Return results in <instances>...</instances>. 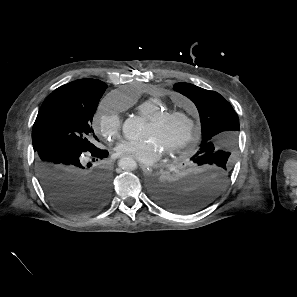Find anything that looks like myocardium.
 <instances>
[{
	"instance_id": "f54148a6",
	"label": "myocardium",
	"mask_w": 297,
	"mask_h": 297,
	"mask_svg": "<svg viewBox=\"0 0 297 297\" xmlns=\"http://www.w3.org/2000/svg\"><path fill=\"white\" fill-rule=\"evenodd\" d=\"M174 119L185 120L188 124V131L186 136L180 142L166 149L165 152L168 155L181 153L187 147H189L192 144V142L195 140L197 135V127L194 119L191 117L190 114L186 112L165 111L148 120L151 125L155 127H159V126H162L165 122L169 120H174Z\"/></svg>"
}]
</instances>
